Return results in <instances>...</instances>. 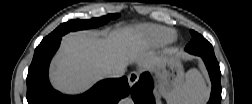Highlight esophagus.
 Returning <instances> with one entry per match:
<instances>
[{"mask_svg":"<svg viewBox=\"0 0 252 104\" xmlns=\"http://www.w3.org/2000/svg\"><path fill=\"white\" fill-rule=\"evenodd\" d=\"M128 83H129V86L132 87L139 79V74L136 72V71H133L131 72L129 75H128Z\"/></svg>","mask_w":252,"mask_h":104,"instance_id":"esophagus-1","label":"esophagus"}]
</instances>
